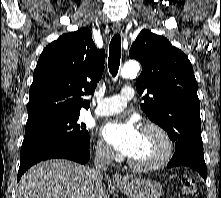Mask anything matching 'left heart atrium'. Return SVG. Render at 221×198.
Returning <instances> with one entry per match:
<instances>
[{
  "label": "left heart atrium",
  "mask_w": 221,
  "mask_h": 198,
  "mask_svg": "<svg viewBox=\"0 0 221 198\" xmlns=\"http://www.w3.org/2000/svg\"><path fill=\"white\" fill-rule=\"evenodd\" d=\"M103 138L116 150L130 156L138 144L140 131L133 120L113 121L101 129Z\"/></svg>",
  "instance_id": "left-heart-atrium-1"
}]
</instances>
